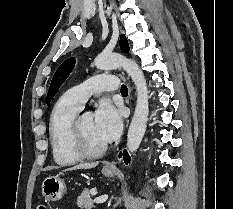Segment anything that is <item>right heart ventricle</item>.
<instances>
[{
  "mask_svg": "<svg viewBox=\"0 0 233 209\" xmlns=\"http://www.w3.org/2000/svg\"><path fill=\"white\" fill-rule=\"evenodd\" d=\"M80 108L70 102L66 95L55 104L49 120V140L53 160L60 166L73 165L81 160L71 148L70 128Z\"/></svg>",
  "mask_w": 233,
  "mask_h": 209,
  "instance_id": "1",
  "label": "right heart ventricle"
}]
</instances>
